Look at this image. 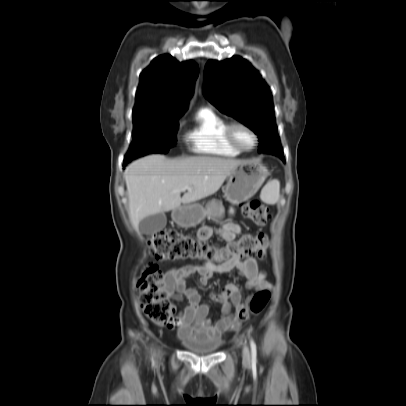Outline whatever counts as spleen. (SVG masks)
<instances>
[{
    "mask_svg": "<svg viewBox=\"0 0 406 406\" xmlns=\"http://www.w3.org/2000/svg\"><path fill=\"white\" fill-rule=\"evenodd\" d=\"M263 201L268 204H275L280 197V182L278 180L269 181L261 192Z\"/></svg>",
    "mask_w": 406,
    "mask_h": 406,
    "instance_id": "obj_1",
    "label": "spleen"
}]
</instances>
